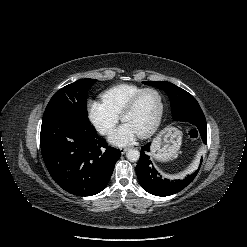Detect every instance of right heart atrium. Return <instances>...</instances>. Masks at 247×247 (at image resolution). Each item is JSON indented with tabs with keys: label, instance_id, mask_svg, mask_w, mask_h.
I'll return each mask as SVG.
<instances>
[{
	"label": "right heart atrium",
	"instance_id": "1",
	"mask_svg": "<svg viewBox=\"0 0 247 247\" xmlns=\"http://www.w3.org/2000/svg\"><path fill=\"white\" fill-rule=\"evenodd\" d=\"M87 117L94 128L101 134H108L119 121L120 116L112 111L103 101L89 100L86 105Z\"/></svg>",
	"mask_w": 247,
	"mask_h": 247
}]
</instances>
